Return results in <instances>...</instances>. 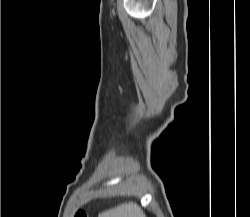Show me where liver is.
Segmentation results:
<instances>
[{
	"label": "liver",
	"mask_w": 250,
	"mask_h": 217,
	"mask_svg": "<svg viewBox=\"0 0 250 217\" xmlns=\"http://www.w3.org/2000/svg\"><path fill=\"white\" fill-rule=\"evenodd\" d=\"M98 217H146L143 210L134 202H128L98 214Z\"/></svg>",
	"instance_id": "liver-1"
}]
</instances>
